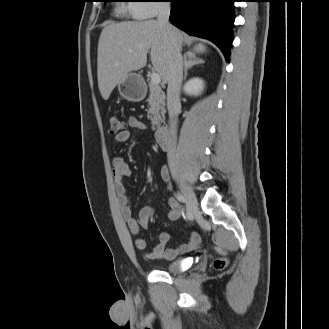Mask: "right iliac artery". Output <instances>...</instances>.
<instances>
[{
    "label": "right iliac artery",
    "instance_id": "82829eb1",
    "mask_svg": "<svg viewBox=\"0 0 329 329\" xmlns=\"http://www.w3.org/2000/svg\"><path fill=\"white\" fill-rule=\"evenodd\" d=\"M175 196H176V198H177L180 202H182V203H186V199H185V197H184L183 195L177 193V194H175Z\"/></svg>",
    "mask_w": 329,
    "mask_h": 329
}]
</instances>
